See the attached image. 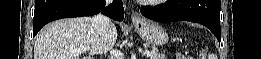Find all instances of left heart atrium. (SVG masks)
I'll list each match as a JSON object with an SVG mask.
<instances>
[{
	"instance_id": "39dd6f15",
	"label": "left heart atrium",
	"mask_w": 261,
	"mask_h": 59,
	"mask_svg": "<svg viewBox=\"0 0 261 59\" xmlns=\"http://www.w3.org/2000/svg\"><path fill=\"white\" fill-rule=\"evenodd\" d=\"M139 2H143V3H155L157 2L156 0H139Z\"/></svg>"
}]
</instances>
